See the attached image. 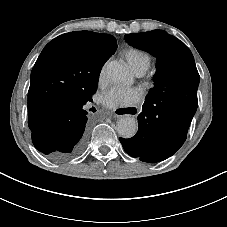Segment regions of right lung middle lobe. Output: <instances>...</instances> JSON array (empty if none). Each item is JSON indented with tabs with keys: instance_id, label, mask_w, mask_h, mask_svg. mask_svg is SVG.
<instances>
[{
	"instance_id": "obj_1",
	"label": "right lung middle lobe",
	"mask_w": 227,
	"mask_h": 227,
	"mask_svg": "<svg viewBox=\"0 0 227 227\" xmlns=\"http://www.w3.org/2000/svg\"><path fill=\"white\" fill-rule=\"evenodd\" d=\"M108 59L105 58L103 60H101L97 65L96 67L94 68V71L92 73V76H91V88H90V91L88 92V94H90L92 96V94L96 91L97 89V84H98V76H99V73H100V70H101V67L102 65L105 63V61Z\"/></svg>"
}]
</instances>
